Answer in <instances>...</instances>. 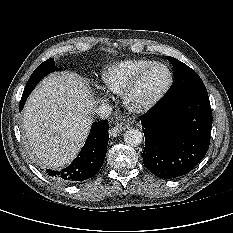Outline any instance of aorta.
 Instances as JSON below:
<instances>
[{"label":"aorta","mask_w":233,"mask_h":233,"mask_svg":"<svg viewBox=\"0 0 233 233\" xmlns=\"http://www.w3.org/2000/svg\"><path fill=\"white\" fill-rule=\"evenodd\" d=\"M124 142L129 146H138L143 141V134L140 130L130 128L123 134Z\"/></svg>","instance_id":"762f6f07"}]
</instances>
